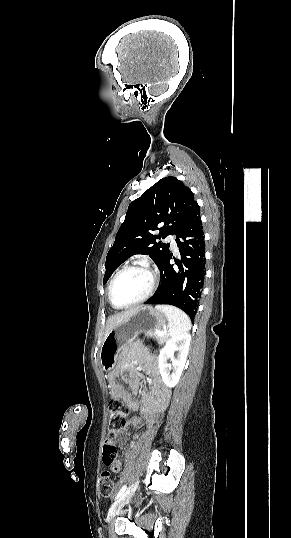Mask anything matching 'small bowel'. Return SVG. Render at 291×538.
<instances>
[{"instance_id":"1","label":"small bowel","mask_w":291,"mask_h":538,"mask_svg":"<svg viewBox=\"0 0 291 538\" xmlns=\"http://www.w3.org/2000/svg\"><path fill=\"white\" fill-rule=\"evenodd\" d=\"M142 373L148 377L152 386L142 394V402L139 404L133 395L138 394ZM107 376L111 398L121 401L128 409L140 413V416L132 417L129 421V424L134 427L149 424L155 418L169 393L161 382L158 363L151 356L133 357L128 352H124L120 357L119 364L110 365ZM122 379L126 381L131 392L120 383ZM135 438H139V435H135ZM116 440L120 448H126V431L121 430L117 434ZM121 470L122 465L118 461L111 467V471L115 474H119Z\"/></svg>"}]
</instances>
